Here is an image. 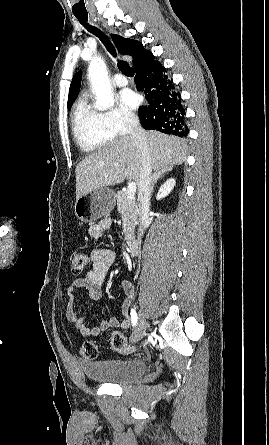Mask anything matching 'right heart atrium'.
<instances>
[{"label":"right heart atrium","mask_w":269,"mask_h":445,"mask_svg":"<svg viewBox=\"0 0 269 445\" xmlns=\"http://www.w3.org/2000/svg\"><path fill=\"white\" fill-rule=\"evenodd\" d=\"M102 114L106 125L114 136L126 134L137 121L135 114L122 106H115Z\"/></svg>","instance_id":"right-heart-atrium-1"}]
</instances>
